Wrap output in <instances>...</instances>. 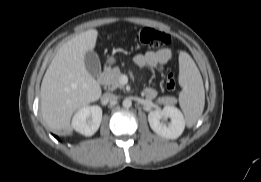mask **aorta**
I'll return each mask as SVG.
<instances>
[{
    "label": "aorta",
    "instance_id": "obj_1",
    "mask_svg": "<svg viewBox=\"0 0 261 182\" xmlns=\"http://www.w3.org/2000/svg\"><path fill=\"white\" fill-rule=\"evenodd\" d=\"M122 105L124 108H130L132 106V101L129 98L123 100Z\"/></svg>",
    "mask_w": 261,
    "mask_h": 182
}]
</instances>
